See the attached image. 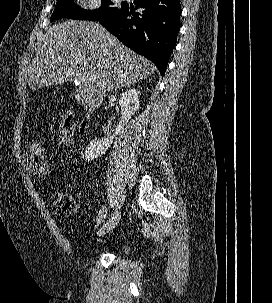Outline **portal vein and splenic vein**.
<instances>
[{"instance_id":"portal-vein-and-splenic-vein-1","label":"portal vein and splenic vein","mask_w":272,"mask_h":303,"mask_svg":"<svg viewBox=\"0 0 272 303\" xmlns=\"http://www.w3.org/2000/svg\"><path fill=\"white\" fill-rule=\"evenodd\" d=\"M96 79V77H94V78H88V77H86V76H81V79H80V81L81 82H86V81H88V80H95Z\"/></svg>"}]
</instances>
